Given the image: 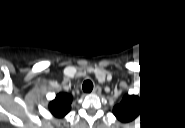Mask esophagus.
I'll return each instance as SVG.
<instances>
[{"label": "esophagus", "instance_id": "esophagus-1", "mask_svg": "<svg viewBox=\"0 0 185 128\" xmlns=\"http://www.w3.org/2000/svg\"><path fill=\"white\" fill-rule=\"evenodd\" d=\"M100 91H101V89H100L99 86H96V87L94 88V92H100Z\"/></svg>", "mask_w": 185, "mask_h": 128}]
</instances>
